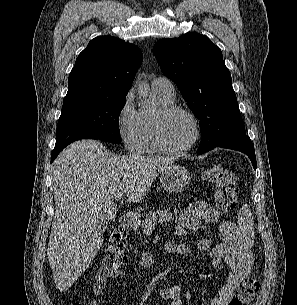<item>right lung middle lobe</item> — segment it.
I'll return each instance as SVG.
<instances>
[{
    "label": "right lung middle lobe",
    "instance_id": "obj_1",
    "mask_svg": "<svg viewBox=\"0 0 297 305\" xmlns=\"http://www.w3.org/2000/svg\"><path fill=\"white\" fill-rule=\"evenodd\" d=\"M126 97H86L63 102L56 130L55 148L79 139L120 143L119 115Z\"/></svg>",
    "mask_w": 297,
    "mask_h": 305
}]
</instances>
